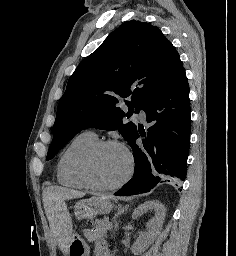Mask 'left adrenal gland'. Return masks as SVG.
I'll return each mask as SVG.
<instances>
[{
  "label": "left adrenal gland",
  "instance_id": "a2214340",
  "mask_svg": "<svg viewBox=\"0 0 236 256\" xmlns=\"http://www.w3.org/2000/svg\"><path fill=\"white\" fill-rule=\"evenodd\" d=\"M126 208H122L121 204H119L118 206V212L117 214H114V218L112 220L113 224H117L116 220L118 218V216H121V214H124ZM115 230H116V226H115Z\"/></svg>",
  "mask_w": 236,
  "mask_h": 256
}]
</instances>
